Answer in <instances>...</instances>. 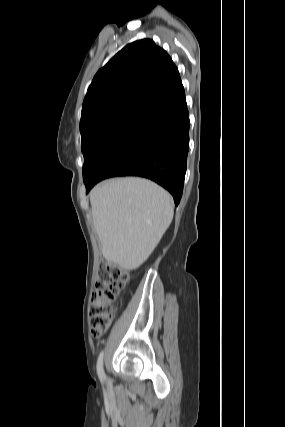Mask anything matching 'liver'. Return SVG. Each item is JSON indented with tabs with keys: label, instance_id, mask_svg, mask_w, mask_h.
Listing matches in <instances>:
<instances>
[{
	"label": "liver",
	"instance_id": "liver-1",
	"mask_svg": "<svg viewBox=\"0 0 285 427\" xmlns=\"http://www.w3.org/2000/svg\"><path fill=\"white\" fill-rule=\"evenodd\" d=\"M90 203L104 258L128 269L139 267L149 257L174 214L167 191L135 177L97 184Z\"/></svg>",
	"mask_w": 285,
	"mask_h": 427
}]
</instances>
